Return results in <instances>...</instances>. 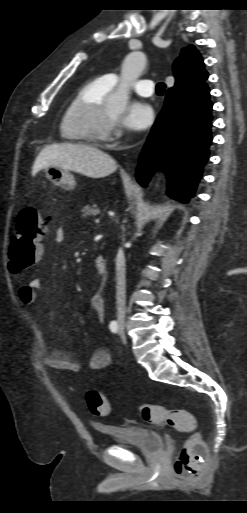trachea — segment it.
<instances>
[{"instance_id":"obj_1","label":"trachea","mask_w":247,"mask_h":513,"mask_svg":"<svg viewBox=\"0 0 247 513\" xmlns=\"http://www.w3.org/2000/svg\"><path fill=\"white\" fill-rule=\"evenodd\" d=\"M166 88V85L165 83L163 82H159L156 86V91H157V94L159 95H162L164 93V90Z\"/></svg>"}]
</instances>
